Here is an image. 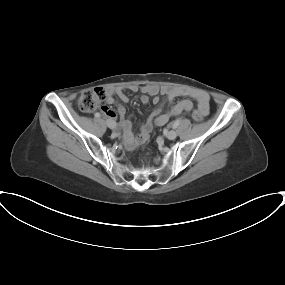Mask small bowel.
<instances>
[{
	"mask_svg": "<svg viewBox=\"0 0 285 285\" xmlns=\"http://www.w3.org/2000/svg\"><path fill=\"white\" fill-rule=\"evenodd\" d=\"M129 89L133 92H136L138 90L142 92L140 100L143 104H147L149 102V97H153V102L157 105V107L154 109L147 121L142 125L140 132L135 135L132 132L133 124L130 119L125 118L126 109L121 103L128 102L129 100L123 88L109 87L104 90L106 103L109 105H115L117 111L115 112L114 110L105 106L102 108V112L108 118V120L116 119L117 115L120 117V127L122 130L123 140L128 148H134L145 142L152 131L153 124H156L158 126L165 125L172 117L178 116L185 112H189L193 108V102L190 99H183L168 111L160 113V98L158 96L159 93H161L166 100L171 102L180 95L177 90L167 87L160 89L156 85H144L142 87L132 85L129 87ZM189 95L196 101L198 109L204 115H207L210 110L208 95L202 92L191 93Z\"/></svg>",
	"mask_w": 285,
	"mask_h": 285,
	"instance_id": "1",
	"label": "small bowel"
}]
</instances>
